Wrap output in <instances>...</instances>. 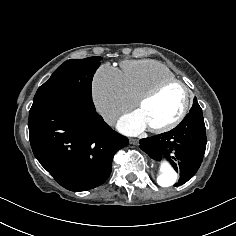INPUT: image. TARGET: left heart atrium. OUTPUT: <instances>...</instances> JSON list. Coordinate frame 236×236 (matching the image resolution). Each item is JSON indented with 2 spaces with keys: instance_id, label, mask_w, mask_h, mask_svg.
<instances>
[{
  "instance_id": "39dd6f15",
  "label": "left heart atrium",
  "mask_w": 236,
  "mask_h": 236,
  "mask_svg": "<svg viewBox=\"0 0 236 236\" xmlns=\"http://www.w3.org/2000/svg\"><path fill=\"white\" fill-rule=\"evenodd\" d=\"M146 128L147 124L140 110L123 116L118 122V129L128 135H138Z\"/></svg>"
}]
</instances>
